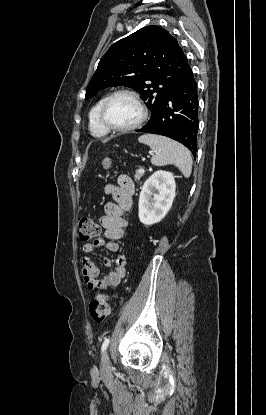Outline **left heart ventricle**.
Returning <instances> with one entry per match:
<instances>
[{
    "instance_id": "left-heart-ventricle-1",
    "label": "left heart ventricle",
    "mask_w": 266,
    "mask_h": 415,
    "mask_svg": "<svg viewBox=\"0 0 266 415\" xmlns=\"http://www.w3.org/2000/svg\"><path fill=\"white\" fill-rule=\"evenodd\" d=\"M107 120L115 127H127L140 117V109L127 95H119L111 100L107 108Z\"/></svg>"
}]
</instances>
